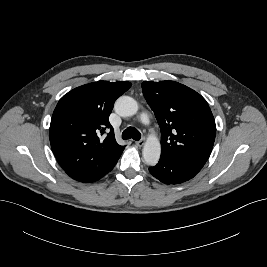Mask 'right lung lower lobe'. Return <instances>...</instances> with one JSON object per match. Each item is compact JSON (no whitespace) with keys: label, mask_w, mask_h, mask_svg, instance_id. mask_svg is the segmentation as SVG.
Wrapping results in <instances>:
<instances>
[{"label":"right lung lower lobe","mask_w":267,"mask_h":267,"mask_svg":"<svg viewBox=\"0 0 267 267\" xmlns=\"http://www.w3.org/2000/svg\"><path fill=\"white\" fill-rule=\"evenodd\" d=\"M121 154L116 157L111 163L108 165L104 166V168L101 171H98L97 173H84V172H77V171H65L71 178L84 182V183H89V182H94L102 178L106 173L110 172L113 167L116 165L119 157Z\"/></svg>","instance_id":"98d812e1"}]
</instances>
